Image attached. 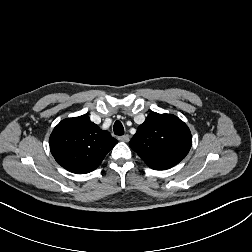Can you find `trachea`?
<instances>
[{"instance_id": "trachea-1", "label": "trachea", "mask_w": 252, "mask_h": 252, "mask_svg": "<svg viewBox=\"0 0 252 252\" xmlns=\"http://www.w3.org/2000/svg\"><path fill=\"white\" fill-rule=\"evenodd\" d=\"M114 134L117 136L124 135V127L120 121H116L113 126Z\"/></svg>"}]
</instances>
